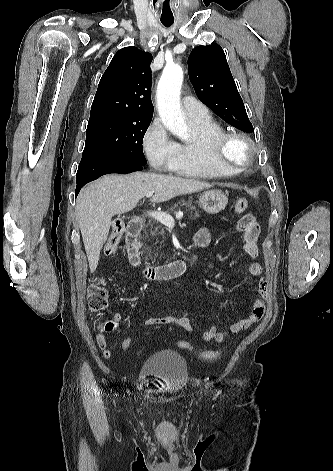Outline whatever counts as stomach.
<instances>
[{"label": "stomach", "instance_id": "0dacf381", "mask_svg": "<svg viewBox=\"0 0 333 471\" xmlns=\"http://www.w3.org/2000/svg\"><path fill=\"white\" fill-rule=\"evenodd\" d=\"M228 197L221 190H210L199 197V206L209 214H217L225 209Z\"/></svg>", "mask_w": 333, "mask_h": 471}]
</instances>
